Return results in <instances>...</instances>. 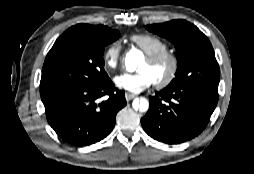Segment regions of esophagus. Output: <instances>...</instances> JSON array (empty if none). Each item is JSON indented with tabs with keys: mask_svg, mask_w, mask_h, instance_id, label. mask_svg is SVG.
<instances>
[{
	"mask_svg": "<svg viewBox=\"0 0 254 174\" xmlns=\"http://www.w3.org/2000/svg\"><path fill=\"white\" fill-rule=\"evenodd\" d=\"M135 97H136L135 94H131V93H126L125 94V98H126L127 101H130V100L134 99Z\"/></svg>",
	"mask_w": 254,
	"mask_h": 174,
	"instance_id": "34e87169",
	"label": "esophagus"
}]
</instances>
